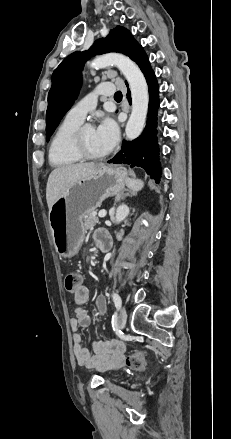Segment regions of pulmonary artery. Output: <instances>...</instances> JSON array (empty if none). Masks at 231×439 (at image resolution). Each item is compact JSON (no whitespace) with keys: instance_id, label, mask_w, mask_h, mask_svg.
I'll return each instance as SVG.
<instances>
[{"instance_id":"e3ab8cb5","label":"pulmonary artery","mask_w":231,"mask_h":439,"mask_svg":"<svg viewBox=\"0 0 231 439\" xmlns=\"http://www.w3.org/2000/svg\"><path fill=\"white\" fill-rule=\"evenodd\" d=\"M115 86L112 83L99 84L93 93H90L77 104H75L67 113V117L79 122H83L88 112L95 109L97 104V97L110 96L113 94Z\"/></svg>"}]
</instances>
